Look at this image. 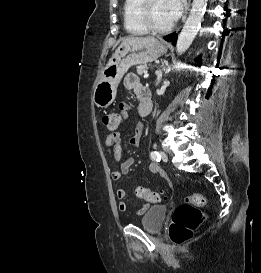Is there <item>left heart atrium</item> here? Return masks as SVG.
Segmentation results:
<instances>
[{"instance_id": "39dd6f15", "label": "left heart atrium", "mask_w": 261, "mask_h": 273, "mask_svg": "<svg viewBox=\"0 0 261 273\" xmlns=\"http://www.w3.org/2000/svg\"><path fill=\"white\" fill-rule=\"evenodd\" d=\"M173 20L180 17L183 11L184 0H168Z\"/></svg>"}]
</instances>
